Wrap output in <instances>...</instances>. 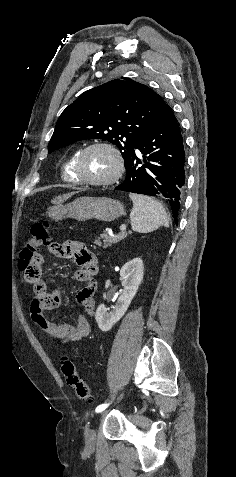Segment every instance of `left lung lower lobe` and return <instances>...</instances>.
Listing matches in <instances>:
<instances>
[{"label":"left lung lower lobe","instance_id":"1","mask_svg":"<svg viewBox=\"0 0 236 477\" xmlns=\"http://www.w3.org/2000/svg\"><path fill=\"white\" fill-rule=\"evenodd\" d=\"M126 168V178L115 189L160 197L169 203L177 224L185 185V151L180 127L172 108L162 101L159 116Z\"/></svg>","mask_w":236,"mask_h":477}]
</instances>
